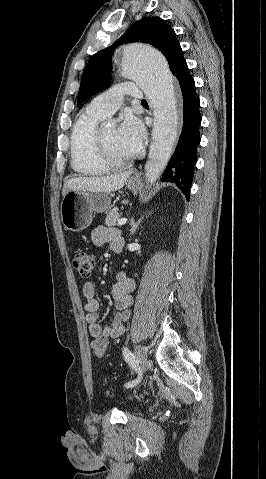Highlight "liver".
Listing matches in <instances>:
<instances>
[{
  "label": "liver",
  "instance_id": "liver-1",
  "mask_svg": "<svg viewBox=\"0 0 266 479\" xmlns=\"http://www.w3.org/2000/svg\"><path fill=\"white\" fill-rule=\"evenodd\" d=\"M131 172L103 176V177H74L68 179L63 186V196L69 191H87L110 193L121 189Z\"/></svg>",
  "mask_w": 266,
  "mask_h": 479
}]
</instances>
